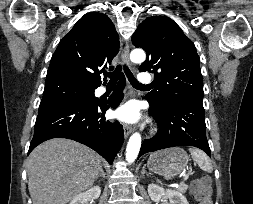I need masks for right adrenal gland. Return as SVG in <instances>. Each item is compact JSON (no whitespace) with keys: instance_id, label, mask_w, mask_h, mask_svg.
<instances>
[{"instance_id":"obj_1","label":"right adrenal gland","mask_w":253,"mask_h":204,"mask_svg":"<svg viewBox=\"0 0 253 204\" xmlns=\"http://www.w3.org/2000/svg\"><path fill=\"white\" fill-rule=\"evenodd\" d=\"M99 177L105 178V172H104L103 168H101L100 174L98 175V177L96 179H98Z\"/></svg>"}]
</instances>
